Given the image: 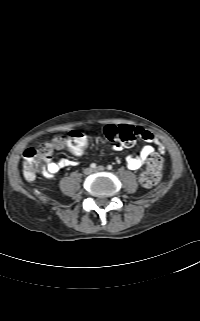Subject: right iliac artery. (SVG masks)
<instances>
[{
    "label": "right iliac artery",
    "mask_w": 200,
    "mask_h": 321,
    "mask_svg": "<svg viewBox=\"0 0 200 321\" xmlns=\"http://www.w3.org/2000/svg\"><path fill=\"white\" fill-rule=\"evenodd\" d=\"M90 167H91V168H96V164H95V163H92V164L90 165Z\"/></svg>",
    "instance_id": "82829eb1"
}]
</instances>
